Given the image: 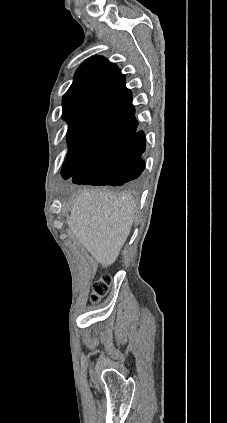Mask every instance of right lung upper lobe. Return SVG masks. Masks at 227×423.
Segmentation results:
<instances>
[{"mask_svg":"<svg viewBox=\"0 0 227 423\" xmlns=\"http://www.w3.org/2000/svg\"><path fill=\"white\" fill-rule=\"evenodd\" d=\"M130 100L125 77L114 63L104 57L84 62L62 101L63 118L69 123L70 150L92 155L134 134L136 127L127 122L104 118L107 110Z\"/></svg>","mask_w":227,"mask_h":423,"instance_id":"cb5924a9","label":"right lung upper lobe"}]
</instances>
